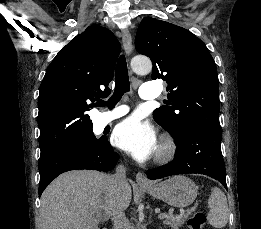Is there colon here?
Returning a JSON list of instances; mask_svg holds the SVG:
<instances>
[{"label": "colon", "mask_w": 261, "mask_h": 229, "mask_svg": "<svg viewBox=\"0 0 261 229\" xmlns=\"http://www.w3.org/2000/svg\"><path fill=\"white\" fill-rule=\"evenodd\" d=\"M206 220V215L203 212H196L188 219L187 229H204Z\"/></svg>", "instance_id": "5ec220e1"}]
</instances>
